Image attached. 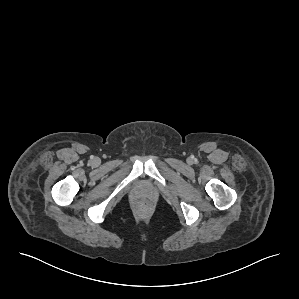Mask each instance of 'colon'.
<instances>
[{"label":"colon","mask_w":299,"mask_h":299,"mask_svg":"<svg viewBox=\"0 0 299 299\" xmlns=\"http://www.w3.org/2000/svg\"><path fill=\"white\" fill-rule=\"evenodd\" d=\"M151 205L148 201L142 200L137 204V210L140 213H146L150 210Z\"/></svg>","instance_id":"5ec220e1"}]
</instances>
